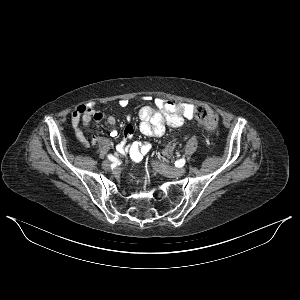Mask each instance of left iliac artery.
<instances>
[{"label": "left iliac artery", "instance_id": "obj_1", "mask_svg": "<svg viewBox=\"0 0 300 300\" xmlns=\"http://www.w3.org/2000/svg\"><path fill=\"white\" fill-rule=\"evenodd\" d=\"M184 164H185V159H184V158H181V159H179V160H177V161L175 162V166H176V167H183Z\"/></svg>", "mask_w": 300, "mask_h": 300}]
</instances>
